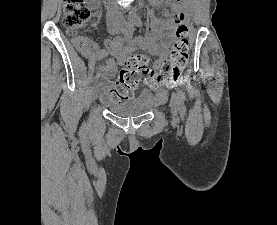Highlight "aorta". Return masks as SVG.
Returning a JSON list of instances; mask_svg holds the SVG:
<instances>
[{
  "label": "aorta",
  "mask_w": 277,
  "mask_h": 225,
  "mask_svg": "<svg viewBox=\"0 0 277 225\" xmlns=\"http://www.w3.org/2000/svg\"><path fill=\"white\" fill-rule=\"evenodd\" d=\"M135 16H136L135 11H134L133 9H130V11H129V17H130V18H133V17H135Z\"/></svg>",
  "instance_id": "aorta-1"
}]
</instances>
